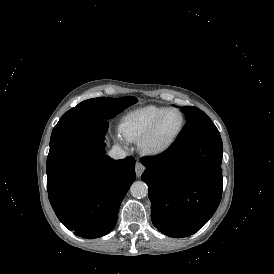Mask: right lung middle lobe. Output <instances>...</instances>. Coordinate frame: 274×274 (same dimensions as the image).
Returning a JSON list of instances; mask_svg holds the SVG:
<instances>
[{
    "instance_id": "1",
    "label": "right lung middle lobe",
    "mask_w": 274,
    "mask_h": 274,
    "mask_svg": "<svg viewBox=\"0 0 274 274\" xmlns=\"http://www.w3.org/2000/svg\"><path fill=\"white\" fill-rule=\"evenodd\" d=\"M136 102L137 99L135 97H99L79 103L67 111L54 127L51 134L50 147L95 121L113 118Z\"/></svg>"
}]
</instances>
